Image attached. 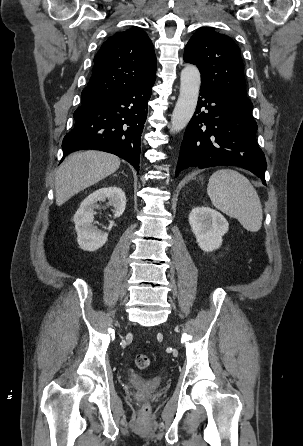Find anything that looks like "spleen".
<instances>
[{"label": "spleen", "instance_id": "obj_1", "mask_svg": "<svg viewBox=\"0 0 303 446\" xmlns=\"http://www.w3.org/2000/svg\"><path fill=\"white\" fill-rule=\"evenodd\" d=\"M207 193L217 209L238 219L246 230H260L263 219L261 202L244 175L232 169H219L209 178Z\"/></svg>", "mask_w": 303, "mask_h": 446}]
</instances>
